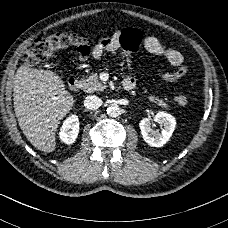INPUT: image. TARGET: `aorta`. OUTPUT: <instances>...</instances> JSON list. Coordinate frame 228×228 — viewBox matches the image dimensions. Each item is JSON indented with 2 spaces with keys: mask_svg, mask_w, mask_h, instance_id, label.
I'll list each match as a JSON object with an SVG mask.
<instances>
[{
  "mask_svg": "<svg viewBox=\"0 0 228 228\" xmlns=\"http://www.w3.org/2000/svg\"><path fill=\"white\" fill-rule=\"evenodd\" d=\"M107 114L110 117H117L122 114L121 108L117 104H113L107 108Z\"/></svg>",
  "mask_w": 228,
  "mask_h": 228,
  "instance_id": "obj_1",
  "label": "aorta"
}]
</instances>
